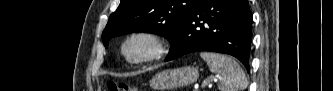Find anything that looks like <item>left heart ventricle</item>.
<instances>
[{
	"label": "left heart ventricle",
	"mask_w": 333,
	"mask_h": 91,
	"mask_svg": "<svg viewBox=\"0 0 333 91\" xmlns=\"http://www.w3.org/2000/svg\"><path fill=\"white\" fill-rule=\"evenodd\" d=\"M146 49L145 44L142 41H134L127 47V53L132 57H137L144 53Z\"/></svg>",
	"instance_id": "left-heart-ventricle-1"
}]
</instances>
